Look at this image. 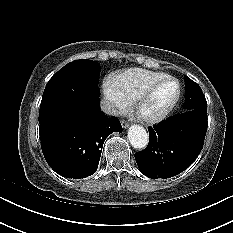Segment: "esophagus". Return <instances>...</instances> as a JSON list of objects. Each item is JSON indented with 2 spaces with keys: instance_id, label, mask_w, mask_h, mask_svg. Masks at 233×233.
<instances>
[{
  "instance_id": "34e87169",
  "label": "esophagus",
  "mask_w": 233,
  "mask_h": 233,
  "mask_svg": "<svg viewBox=\"0 0 233 233\" xmlns=\"http://www.w3.org/2000/svg\"><path fill=\"white\" fill-rule=\"evenodd\" d=\"M121 124H122V127H123L124 129H127V128L129 127L128 122H126V121H124V120L121 122Z\"/></svg>"
}]
</instances>
